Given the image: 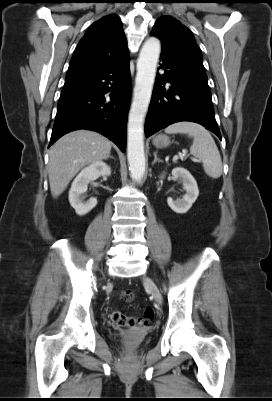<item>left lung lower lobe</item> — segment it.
<instances>
[{"instance_id":"1","label":"left lung lower lobe","mask_w":272,"mask_h":401,"mask_svg":"<svg viewBox=\"0 0 272 401\" xmlns=\"http://www.w3.org/2000/svg\"><path fill=\"white\" fill-rule=\"evenodd\" d=\"M160 61L159 68H163L164 73L156 77L145 122L146 136L170 124L191 121L203 125L221 139L205 70L162 51ZM167 82L170 86L166 88Z\"/></svg>"}]
</instances>
